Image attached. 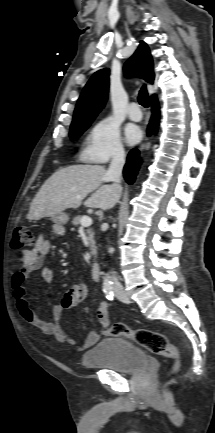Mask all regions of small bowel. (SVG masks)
<instances>
[{
    "mask_svg": "<svg viewBox=\"0 0 215 433\" xmlns=\"http://www.w3.org/2000/svg\"><path fill=\"white\" fill-rule=\"evenodd\" d=\"M54 233L60 237L63 235V230L59 228ZM50 249L51 242L45 236L40 235L37 237L32 249L21 252L18 259L19 266L12 276V290L16 307L22 318L42 333L51 335L62 343L73 344L78 350H86L99 340L100 334L91 332L85 340L76 343L62 326L64 312L75 310L85 299L87 295L85 284H75L64 293L61 302L52 308V321L45 320L37 315L30 307L26 298V281L32 273L40 271L44 281L52 282L54 280L53 269L45 264V256ZM97 318L104 329L109 326L110 320L107 302L99 304Z\"/></svg>",
    "mask_w": 215,
    "mask_h": 433,
    "instance_id": "1",
    "label": "small bowel"
}]
</instances>
